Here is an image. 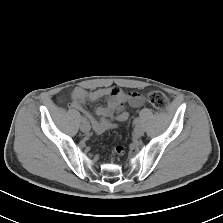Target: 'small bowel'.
Masks as SVG:
<instances>
[{"instance_id": "small-bowel-1", "label": "small bowel", "mask_w": 223, "mask_h": 223, "mask_svg": "<svg viewBox=\"0 0 223 223\" xmlns=\"http://www.w3.org/2000/svg\"><path fill=\"white\" fill-rule=\"evenodd\" d=\"M106 98L107 104L100 106L96 110L99 119H95L92 114L84 107L86 101H97ZM128 102L134 107H142L144 99L139 93L126 94L116 87L100 88L94 91H87L78 87L71 93V107L83 114L84 121L90 123L96 133H103L112 129L115 122L125 121L129 114L124 108V104ZM115 113H117L115 115Z\"/></svg>"}]
</instances>
